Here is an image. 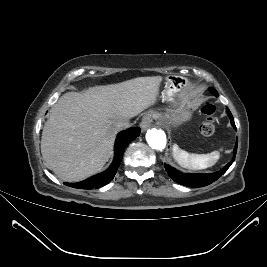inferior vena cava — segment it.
I'll list each match as a JSON object with an SVG mask.
<instances>
[{
    "label": "inferior vena cava",
    "instance_id": "602c4592",
    "mask_svg": "<svg viewBox=\"0 0 267 267\" xmlns=\"http://www.w3.org/2000/svg\"><path fill=\"white\" fill-rule=\"evenodd\" d=\"M114 127L116 131L127 129L130 127L129 120L127 119L119 120L114 124Z\"/></svg>",
    "mask_w": 267,
    "mask_h": 267
}]
</instances>
